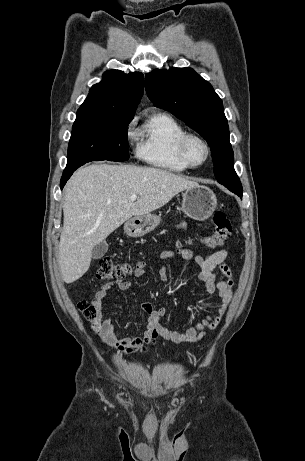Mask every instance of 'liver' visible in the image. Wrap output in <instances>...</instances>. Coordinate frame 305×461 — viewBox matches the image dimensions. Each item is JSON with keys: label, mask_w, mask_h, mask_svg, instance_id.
<instances>
[{"label": "liver", "mask_w": 305, "mask_h": 461, "mask_svg": "<svg viewBox=\"0 0 305 461\" xmlns=\"http://www.w3.org/2000/svg\"><path fill=\"white\" fill-rule=\"evenodd\" d=\"M198 186L157 168L92 164L77 170L65 187L64 223L59 244L63 280L73 283L90 267L92 249L132 216L167 204L179 192ZM138 199L131 201V195Z\"/></svg>", "instance_id": "liver-1"}]
</instances>
